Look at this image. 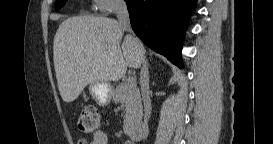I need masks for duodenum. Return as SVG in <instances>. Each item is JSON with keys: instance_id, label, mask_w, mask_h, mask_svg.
I'll return each mask as SVG.
<instances>
[{"instance_id": "410a0bca", "label": "duodenum", "mask_w": 273, "mask_h": 144, "mask_svg": "<svg viewBox=\"0 0 273 144\" xmlns=\"http://www.w3.org/2000/svg\"><path fill=\"white\" fill-rule=\"evenodd\" d=\"M127 133L135 142L141 141L145 135L144 128L141 124L127 125Z\"/></svg>"}]
</instances>
